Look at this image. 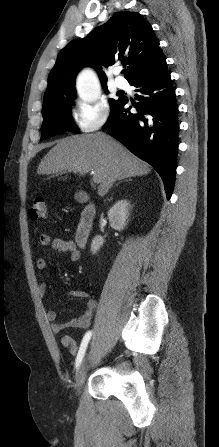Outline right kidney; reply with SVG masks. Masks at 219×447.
<instances>
[{"label":"right kidney","instance_id":"ca27d5eb","mask_svg":"<svg viewBox=\"0 0 219 447\" xmlns=\"http://www.w3.org/2000/svg\"><path fill=\"white\" fill-rule=\"evenodd\" d=\"M130 204L127 200L117 201L108 211L110 226L118 231L123 230L128 222ZM104 243V238L96 235L91 243V252L96 254Z\"/></svg>","mask_w":219,"mask_h":447}]
</instances>
